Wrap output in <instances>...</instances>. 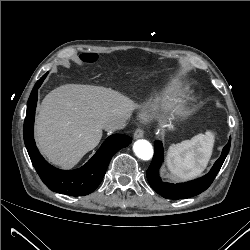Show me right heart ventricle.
Here are the masks:
<instances>
[{
	"label": "right heart ventricle",
	"mask_w": 250,
	"mask_h": 250,
	"mask_svg": "<svg viewBox=\"0 0 250 250\" xmlns=\"http://www.w3.org/2000/svg\"><path fill=\"white\" fill-rule=\"evenodd\" d=\"M187 86L177 80L168 82L158 93L153 105L169 106L177 102L186 92Z\"/></svg>",
	"instance_id": "1"
}]
</instances>
